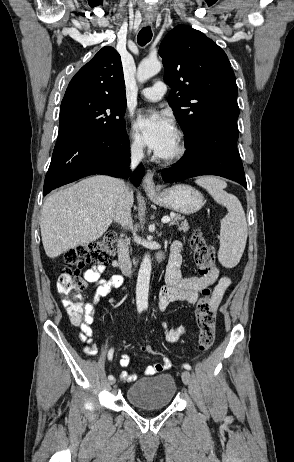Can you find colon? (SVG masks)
Listing matches in <instances>:
<instances>
[{"instance_id":"1","label":"colon","mask_w":294,"mask_h":462,"mask_svg":"<svg viewBox=\"0 0 294 462\" xmlns=\"http://www.w3.org/2000/svg\"><path fill=\"white\" fill-rule=\"evenodd\" d=\"M115 234L107 232L98 239L72 248L65 254V266L57 279V291L73 324H80L83 318V304L80 293L86 287L81 270L88 264L107 265L114 255ZM194 260L200 276L211 278L214 275L216 254L196 231L190 239ZM211 285L203 290L204 297L198 302L196 320L199 329L198 346L201 352L208 351L215 341L216 308L213 303ZM152 355L159 353L151 346L145 347Z\"/></svg>"}]
</instances>
